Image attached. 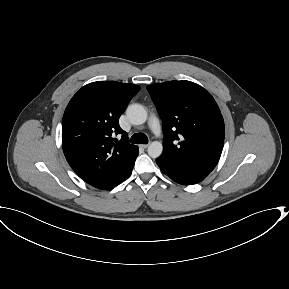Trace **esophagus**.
<instances>
[{"mask_svg": "<svg viewBox=\"0 0 289 289\" xmlns=\"http://www.w3.org/2000/svg\"><path fill=\"white\" fill-rule=\"evenodd\" d=\"M148 146H149V144H143V145H141V147L144 148V149L148 148Z\"/></svg>", "mask_w": 289, "mask_h": 289, "instance_id": "obj_1", "label": "esophagus"}]
</instances>
